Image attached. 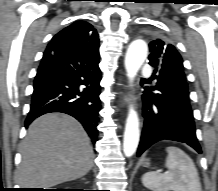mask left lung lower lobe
Listing matches in <instances>:
<instances>
[{
	"label": "left lung lower lobe",
	"mask_w": 218,
	"mask_h": 191,
	"mask_svg": "<svg viewBox=\"0 0 218 191\" xmlns=\"http://www.w3.org/2000/svg\"><path fill=\"white\" fill-rule=\"evenodd\" d=\"M142 100L144 127L137 156L163 139L187 143L201 153L189 100L180 96L168 97L157 86L145 88Z\"/></svg>",
	"instance_id": "left-lung-lower-lobe-1"
}]
</instances>
